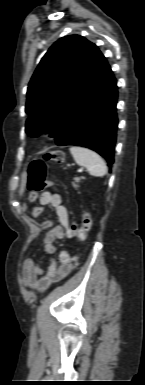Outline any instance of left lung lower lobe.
I'll use <instances>...</instances> for the list:
<instances>
[{
	"instance_id": "1",
	"label": "left lung lower lobe",
	"mask_w": 145,
	"mask_h": 385,
	"mask_svg": "<svg viewBox=\"0 0 145 385\" xmlns=\"http://www.w3.org/2000/svg\"><path fill=\"white\" fill-rule=\"evenodd\" d=\"M116 103V79L99 51L80 95L54 135L56 144L90 148L110 166L114 162L118 127Z\"/></svg>"
}]
</instances>
